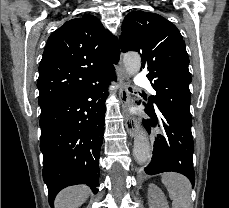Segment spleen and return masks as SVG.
<instances>
[{
	"mask_svg": "<svg viewBox=\"0 0 229 208\" xmlns=\"http://www.w3.org/2000/svg\"><path fill=\"white\" fill-rule=\"evenodd\" d=\"M162 184L169 192L172 208H193L191 202V184L188 178L181 176V174H163Z\"/></svg>",
	"mask_w": 229,
	"mask_h": 208,
	"instance_id": "3e777b00",
	"label": "spleen"
}]
</instances>
